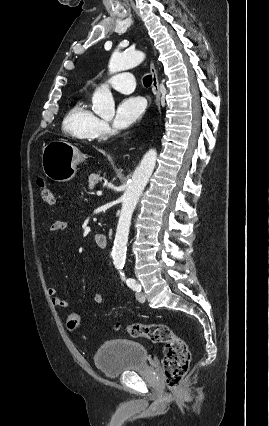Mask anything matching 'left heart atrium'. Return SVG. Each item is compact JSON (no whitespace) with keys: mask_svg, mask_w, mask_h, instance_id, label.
Masks as SVG:
<instances>
[{"mask_svg":"<svg viewBox=\"0 0 269 426\" xmlns=\"http://www.w3.org/2000/svg\"><path fill=\"white\" fill-rule=\"evenodd\" d=\"M145 101L141 97H127L117 106L113 125L118 130H123L134 125L145 111Z\"/></svg>","mask_w":269,"mask_h":426,"instance_id":"left-heart-atrium-1","label":"left heart atrium"}]
</instances>
